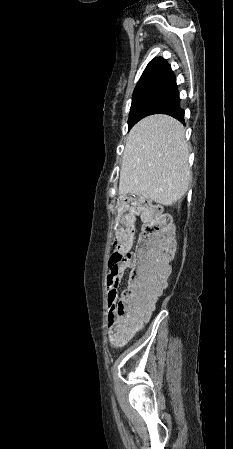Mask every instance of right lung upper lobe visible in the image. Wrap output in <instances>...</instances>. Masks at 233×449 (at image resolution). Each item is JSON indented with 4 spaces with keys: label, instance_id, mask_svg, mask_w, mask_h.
Here are the masks:
<instances>
[{
    "label": "right lung upper lobe",
    "instance_id": "cb5924a9",
    "mask_svg": "<svg viewBox=\"0 0 233 449\" xmlns=\"http://www.w3.org/2000/svg\"><path fill=\"white\" fill-rule=\"evenodd\" d=\"M156 89L177 90L175 75L170 65L162 57L154 58L149 62L133 94Z\"/></svg>",
    "mask_w": 233,
    "mask_h": 449
}]
</instances>
